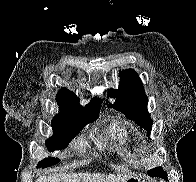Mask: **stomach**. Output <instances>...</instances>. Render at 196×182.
<instances>
[{
	"label": "stomach",
	"mask_w": 196,
	"mask_h": 182,
	"mask_svg": "<svg viewBox=\"0 0 196 182\" xmlns=\"http://www.w3.org/2000/svg\"><path fill=\"white\" fill-rule=\"evenodd\" d=\"M126 182H145L141 177H129Z\"/></svg>",
	"instance_id": "1"
}]
</instances>
